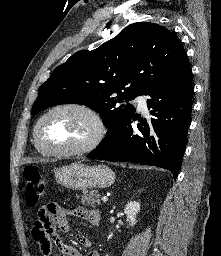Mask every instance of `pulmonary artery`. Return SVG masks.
Returning <instances> with one entry per match:
<instances>
[{
	"label": "pulmonary artery",
	"mask_w": 221,
	"mask_h": 256,
	"mask_svg": "<svg viewBox=\"0 0 221 256\" xmlns=\"http://www.w3.org/2000/svg\"><path fill=\"white\" fill-rule=\"evenodd\" d=\"M136 101L138 103V106L141 110L147 109V99L145 96H139L136 98Z\"/></svg>",
	"instance_id": "obj_1"
}]
</instances>
